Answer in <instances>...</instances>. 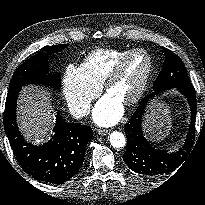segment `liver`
<instances>
[{"instance_id": "liver-1", "label": "liver", "mask_w": 205, "mask_h": 205, "mask_svg": "<svg viewBox=\"0 0 205 205\" xmlns=\"http://www.w3.org/2000/svg\"><path fill=\"white\" fill-rule=\"evenodd\" d=\"M18 122L27 141L37 142L53 129L55 111L44 89L26 86L18 100Z\"/></svg>"}]
</instances>
